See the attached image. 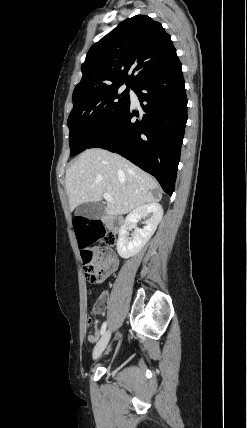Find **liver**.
<instances>
[{
  "instance_id": "liver-1",
  "label": "liver",
  "mask_w": 247,
  "mask_h": 428,
  "mask_svg": "<svg viewBox=\"0 0 247 428\" xmlns=\"http://www.w3.org/2000/svg\"><path fill=\"white\" fill-rule=\"evenodd\" d=\"M66 190L70 209L82 203L98 202L109 193L113 203L105 208L107 215H123L147 203L159 202L151 190L159 189L157 181L118 154L100 148L84 151L67 170Z\"/></svg>"
}]
</instances>
